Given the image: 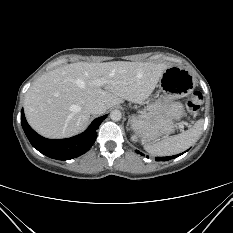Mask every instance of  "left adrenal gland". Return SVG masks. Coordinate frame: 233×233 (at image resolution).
Instances as JSON below:
<instances>
[{"label":"left adrenal gland","mask_w":233,"mask_h":233,"mask_svg":"<svg viewBox=\"0 0 233 233\" xmlns=\"http://www.w3.org/2000/svg\"><path fill=\"white\" fill-rule=\"evenodd\" d=\"M129 123H130V119L128 120V124H127V126H129Z\"/></svg>","instance_id":"a2214340"}]
</instances>
